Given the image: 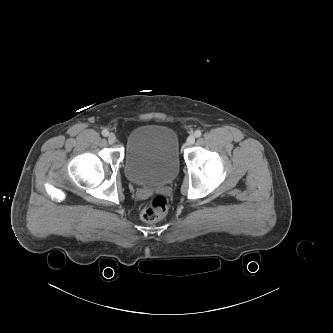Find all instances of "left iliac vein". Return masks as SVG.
Wrapping results in <instances>:
<instances>
[{
	"mask_svg": "<svg viewBox=\"0 0 333 333\" xmlns=\"http://www.w3.org/2000/svg\"><path fill=\"white\" fill-rule=\"evenodd\" d=\"M195 143V136L194 135H190L188 138H187V146H191Z\"/></svg>",
	"mask_w": 333,
	"mask_h": 333,
	"instance_id": "1",
	"label": "left iliac vein"
}]
</instances>
